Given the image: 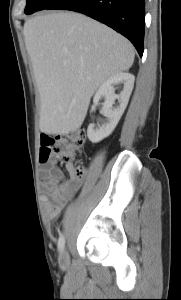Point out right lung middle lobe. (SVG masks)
<instances>
[{
	"instance_id": "dd1d6c3e",
	"label": "right lung middle lobe",
	"mask_w": 181,
	"mask_h": 300,
	"mask_svg": "<svg viewBox=\"0 0 181 300\" xmlns=\"http://www.w3.org/2000/svg\"><path fill=\"white\" fill-rule=\"evenodd\" d=\"M55 0H27L25 14L29 15L36 11L44 10Z\"/></svg>"
}]
</instances>
